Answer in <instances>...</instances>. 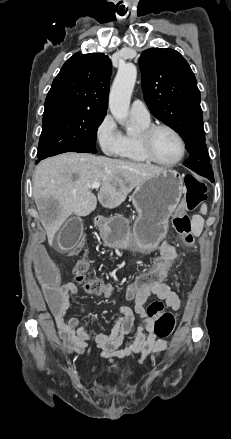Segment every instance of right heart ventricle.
Here are the masks:
<instances>
[{
	"mask_svg": "<svg viewBox=\"0 0 231 439\" xmlns=\"http://www.w3.org/2000/svg\"><path fill=\"white\" fill-rule=\"evenodd\" d=\"M134 122L137 126L138 132L150 125V121H142L136 118H133ZM138 132L135 134H122V144L119 152L117 153V156L125 161L132 162V163H146L148 160L144 157L142 154L138 141H137V135Z\"/></svg>",
	"mask_w": 231,
	"mask_h": 439,
	"instance_id": "obj_1",
	"label": "right heart ventricle"
}]
</instances>
